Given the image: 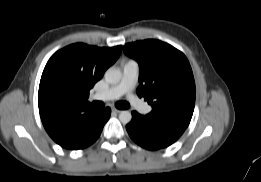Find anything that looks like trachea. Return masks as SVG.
I'll return each mask as SVG.
<instances>
[{
	"mask_svg": "<svg viewBox=\"0 0 261 182\" xmlns=\"http://www.w3.org/2000/svg\"><path fill=\"white\" fill-rule=\"evenodd\" d=\"M92 107L97 108V109H101L104 107V103L101 101H94L91 103ZM115 106L118 109H128L130 107L129 103H127L126 101H119L115 104Z\"/></svg>",
	"mask_w": 261,
	"mask_h": 182,
	"instance_id": "1",
	"label": "trachea"
}]
</instances>
